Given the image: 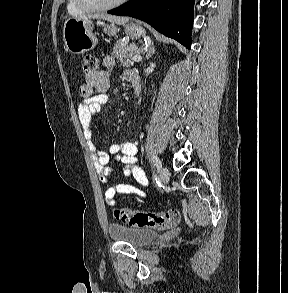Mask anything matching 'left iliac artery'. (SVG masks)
Listing matches in <instances>:
<instances>
[{
    "instance_id": "44dca946",
    "label": "left iliac artery",
    "mask_w": 288,
    "mask_h": 293,
    "mask_svg": "<svg viewBox=\"0 0 288 293\" xmlns=\"http://www.w3.org/2000/svg\"><path fill=\"white\" fill-rule=\"evenodd\" d=\"M152 161L154 162L157 169L159 170L161 168V162H160L159 158L155 155H152Z\"/></svg>"
}]
</instances>
